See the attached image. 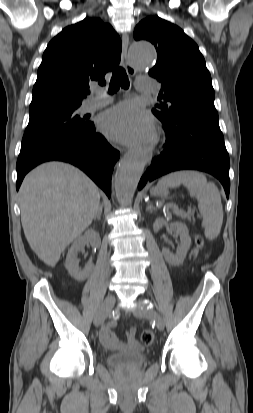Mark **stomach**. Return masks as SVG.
I'll return each instance as SVG.
<instances>
[{
    "mask_svg": "<svg viewBox=\"0 0 253 413\" xmlns=\"http://www.w3.org/2000/svg\"><path fill=\"white\" fill-rule=\"evenodd\" d=\"M150 193L153 196H166L168 194V190L166 187L156 186L154 188H151Z\"/></svg>",
    "mask_w": 253,
    "mask_h": 413,
    "instance_id": "stomach-1",
    "label": "stomach"
}]
</instances>
